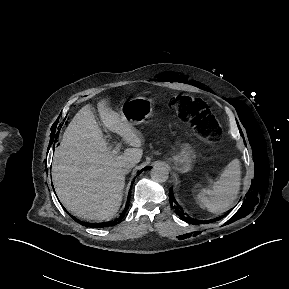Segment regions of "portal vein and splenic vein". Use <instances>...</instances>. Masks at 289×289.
Wrapping results in <instances>:
<instances>
[{"label":"portal vein and splenic vein","mask_w":289,"mask_h":289,"mask_svg":"<svg viewBox=\"0 0 289 289\" xmlns=\"http://www.w3.org/2000/svg\"><path fill=\"white\" fill-rule=\"evenodd\" d=\"M119 152V146H116L113 150H112V154L116 155Z\"/></svg>","instance_id":"1"}]
</instances>
